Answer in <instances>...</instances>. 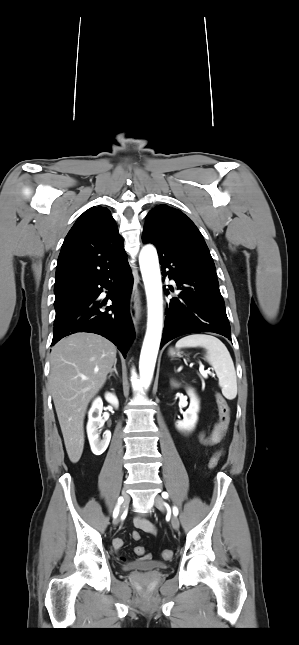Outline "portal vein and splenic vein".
<instances>
[{"mask_svg": "<svg viewBox=\"0 0 299 645\" xmlns=\"http://www.w3.org/2000/svg\"><path fill=\"white\" fill-rule=\"evenodd\" d=\"M199 370H200V373H201V374H203V375H205V374L207 373L206 371H204V367H203V366H201V367L199 368Z\"/></svg>", "mask_w": 299, "mask_h": 645, "instance_id": "1", "label": "portal vein and splenic vein"}]
</instances>
